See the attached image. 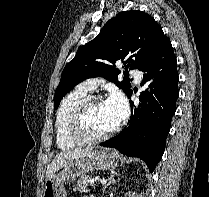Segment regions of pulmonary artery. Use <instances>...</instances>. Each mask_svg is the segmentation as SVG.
Instances as JSON below:
<instances>
[{"label":"pulmonary artery","mask_w":209,"mask_h":197,"mask_svg":"<svg viewBox=\"0 0 209 197\" xmlns=\"http://www.w3.org/2000/svg\"><path fill=\"white\" fill-rule=\"evenodd\" d=\"M131 74L135 78L137 83L140 82L142 75L139 69L137 68L131 69ZM101 82L102 80L99 78H91L85 81L84 83H82L80 86L89 91H94L100 85Z\"/></svg>","instance_id":"pulmonary-artery-1"}]
</instances>
